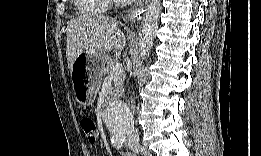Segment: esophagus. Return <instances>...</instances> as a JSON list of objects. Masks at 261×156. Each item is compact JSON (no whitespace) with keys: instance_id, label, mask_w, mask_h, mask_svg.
<instances>
[{"instance_id":"34e87169","label":"esophagus","mask_w":261,"mask_h":156,"mask_svg":"<svg viewBox=\"0 0 261 156\" xmlns=\"http://www.w3.org/2000/svg\"><path fill=\"white\" fill-rule=\"evenodd\" d=\"M144 16L143 7L139 6L130 11V20L135 21L137 19H141Z\"/></svg>"}]
</instances>
